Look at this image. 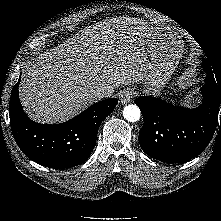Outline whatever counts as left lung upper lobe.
Masks as SVG:
<instances>
[{"label": "left lung upper lobe", "instance_id": "left-lung-upper-lobe-1", "mask_svg": "<svg viewBox=\"0 0 221 221\" xmlns=\"http://www.w3.org/2000/svg\"><path fill=\"white\" fill-rule=\"evenodd\" d=\"M202 62H203L204 70L205 71H209L210 70L212 72V69H211V66H210L208 60L207 59H203Z\"/></svg>", "mask_w": 221, "mask_h": 221}]
</instances>
